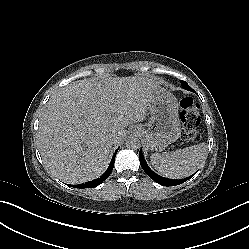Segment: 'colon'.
I'll list each match as a JSON object with an SVG mask.
<instances>
[{
  "mask_svg": "<svg viewBox=\"0 0 249 249\" xmlns=\"http://www.w3.org/2000/svg\"><path fill=\"white\" fill-rule=\"evenodd\" d=\"M180 109L183 138L189 142L197 141L200 136L197 130L200 123L198 104L192 97L186 96L180 101Z\"/></svg>",
  "mask_w": 249,
  "mask_h": 249,
  "instance_id": "obj_1",
  "label": "colon"
}]
</instances>
